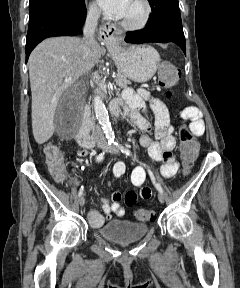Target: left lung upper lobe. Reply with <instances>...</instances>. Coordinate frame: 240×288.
<instances>
[{"mask_svg":"<svg viewBox=\"0 0 240 288\" xmlns=\"http://www.w3.org/2000/svg\"><path fill=\"white\" fill-rule=\"evenodd\" d=\"M152 8V13L157 11L163 5H169L179 9L178 0H148Z\"/></svg>","mask_w":240,"mask_h":288,"instance_id":"1","label":"left lung upper lobe"}]
</instances>
